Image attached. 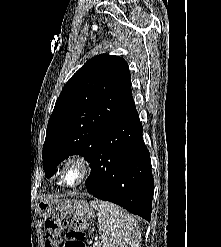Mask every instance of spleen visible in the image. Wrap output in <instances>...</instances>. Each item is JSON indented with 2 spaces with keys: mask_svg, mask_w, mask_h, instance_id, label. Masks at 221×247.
Returning a JSON list of instances; mask_svg holds the SVG:
<instances>
[{
  "mask_svg": "<svg viewBox=\"0 0 221 247\" xmlns=\"http://www.w3.org/2000/svg\"><path fill=\"white\" fill-rule=\"evenodd\" d=\"M103 247H139L140 232L132 215L119 206L96 201Z\"/></svg>",
  "mask_w": 221,
  "mask_h": 247,
  "instance_id": "1",
  "label": "spleen"
}]
</instances>
